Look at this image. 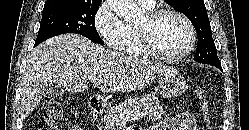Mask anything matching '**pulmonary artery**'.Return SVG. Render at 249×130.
<instances>
[{
    "mask_svg": "<svg viewBox=\"0 0 249 130\" xmlns=\"http://www.w3.org/2000/svg\"><path fill=\"white\" fill-rule=\"evenodd\" d=\"M139 4L152 8L155 6V0H136Z\"/></svg>",
    "mask_w": 249,
    "mask_h": 130,
    "instance_id": "pulmonary-artery-1",
    "label": "pulmonary artery"
}]
</instances>
